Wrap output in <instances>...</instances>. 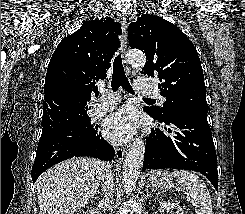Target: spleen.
Wrapping results in <instances>:
<instances>
[{
    "label": "spleen",
    "instance_id": "1",
    "mask_svg": "<svg viewBox=\"0 0 245 214\" xmlns=\"http://www.w3.org/2000/svg\"><path fill=\"white\" fill-rule=\"evenodd\" d=\"M173 176L191 197L196 214H213L211 196L206 184L198 175L187 170H175Z\"/></svg>",
    "mask_w": 245,
    "mask_h": 214
}]
</instances>
